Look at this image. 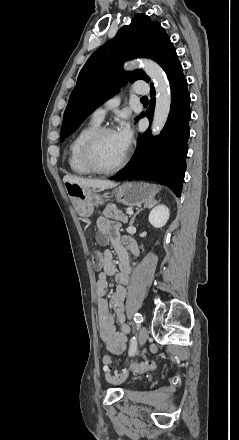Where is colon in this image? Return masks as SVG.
I'll use <instances>...</instances> for the list:
<instances>
[{"mask_svg":"<svg viewBox=\"0 0 239 440\" xmlns=\"http://www.w3.org/2000/svg\"><path fill=\"white\" fill-rule=\"evenodd\" d=\"M92 263L95 269H100L103 265V257L100 251L92 252ZM105 377L111 381L118 382L124 380L130 372L144 373L153 368V364L149 362H131L120 373H113L111 370L112 358L105 356L103 358Z\"/></svg>","mask_w":239,"mask_h":440,"instance_id":"colon-1","label":"colon"}]
</instances>
